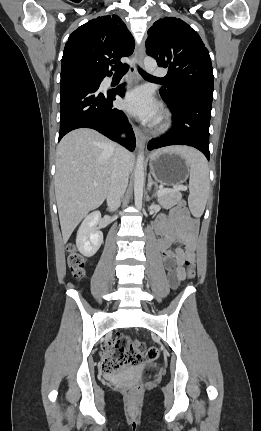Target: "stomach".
I'll return each mask as SVG.
<instances>
[{"instance_id": "obj_1", "label": "stomach", "mask_w": 261, "mask_h": 431, "mask_svg": "<svg viewBox=\"0 0 261 431\" xmlns=\"http://www.w3.org/2000/svg\"><path fill=\"white\" fill-rule=\"evenodd\" d=\"M149 167L154 179L167 186H176L185 182L190 174V167L185 159L172 152H155Z\"/></svg>"}]
</instances>
